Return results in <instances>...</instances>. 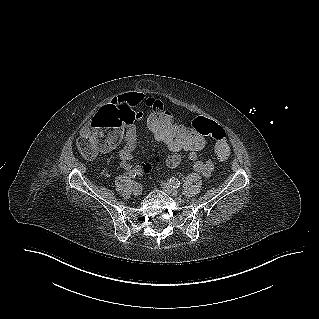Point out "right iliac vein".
<instances>
[{
  "label": "right iliac vein",
  "instance_id": "right-iliac-vein-1",
  "mask_svg": "<svg viewBox=\"0 0 319 319\" xmlns=\"http://www.w3.org/2000/svg\"><path fill=\"white\" fill-rule=\"evenodd\" d=\"M142 192V185L139 183H135L133 186V194L138 196L140 195Z\"/></svg>",
  "mask_w": 319,
  "mask_h": 319
}]
</instances>
